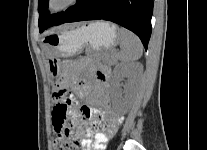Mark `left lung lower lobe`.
<instances>
[{"mask_svg": "<svg viewBox=\"0 0 207 150\" xmlns=\"http://www.w3.org/2000/svg\"><path fill=\"white\" fill-rule=\"evenodd\" d=\"M153 0H78L55 24L103 19L139 36L145 49L151 36Z\"/></svg>", "mask_w": 207, "mask_h": 150, "instance_id": "left-lung-lower-lobe-1", "label": "left lung lower lobe"}]
</instances>
